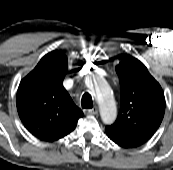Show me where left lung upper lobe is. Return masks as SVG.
Listing matches in <instances>:
<instances>
[{"mask_svg": "<svg viewBox=\"0 0 173 170\" xmlns=\"http://www.w3.org/2000/svg\"><path fill=\"white\" fill-rule=\"evenodd\" d=\"M119 76L121 108L116 121L106 126L107 136L123 148L147 142L160 126L165 97L160 84L145 65L134 57L116 66Z\"/></svg>", "mask_w": 173, "mask_h": 170, "instance_id": "5c2ea615", "label": "left lung upper lobe"}]
</instances>
